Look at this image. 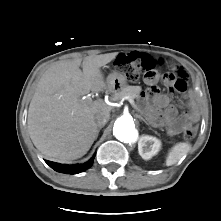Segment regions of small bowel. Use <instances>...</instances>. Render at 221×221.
Segmentation results:
<instances>
[{"instance_id":"c3829d8e","label":"small bowel","mask_w":221,"mask_h":221,"mask_svg":"<svg viewBox=\"0 0 221 221\" xmlns=\"http://www.w3.org/2000/svg\"><path fill=\"white\" fill-rule=\"evenodd\" d=\"M125 54L137 57L141 55L153 57L150 54L140 52L122 53L120 55ZM173 69L178 77L187 79L188 74L183 67L174 66ZM146 81L149 85L153 86L157 81V75L154 78L146 79ZM147 98L155 112V120L166 130L169 136L178 135L184 127L192 125L198 119V111L193 101H190V109L188 111L179 114L177 108L170 104V98L167 94L157 92L151 87Z\"/></svg>"}]
</instances>
